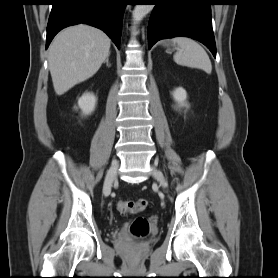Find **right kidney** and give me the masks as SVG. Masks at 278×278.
Instances as JSON below:
<instances>
[{
    "mask_svg": "<svg viewBox=\"0 0 278 278\" xmlns=\"http://www.w3.org/2000/svg\"><path fill=\"white\" fill-rule=\"evenodd\" d=\"M96 97L93 93L86 92L78 100V107L84 115H89L95 110Z\"/></svg>",
    "mask_w": 278,
    "mask_h": 278,
    "instance_id": "ca27d5eb",
    "label": "right kidney"
}]
</instances>
